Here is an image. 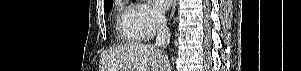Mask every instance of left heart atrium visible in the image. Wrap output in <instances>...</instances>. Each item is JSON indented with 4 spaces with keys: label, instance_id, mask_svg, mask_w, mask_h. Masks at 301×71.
I'll return each mask as SVG.
<instances>
[{
    "label": "left heart atrium",
    "instance_id": "left-heart-atrium-1",
    "mask_svg": "<svg viewBox=\"0 0 301 71\" xmlns=\"http://www.w3.org/2000/svg\"><path fill=\"white\" fill-rule=\"evenodd\" d=\"M154 6L159 11H164L169 8L171 0H153Z\"/></svg>",
    "mask_w": 301,
    "mask_h": 71
}]
</instances>
